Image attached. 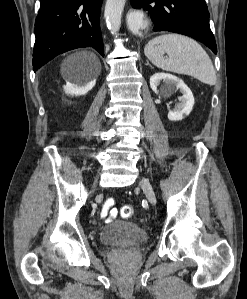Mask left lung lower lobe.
<instances>
[{
	"label": "left lung lower lobe",
	"instance_id": "left-lung-lower-lobe-1",
	"mask_svg": "<svg viewBox=\"0 0 247 299\" xmlns=\"http://www.w3.org/2000/svg\"><path fill=\"white\" fill-rule=\"evenodd\" d=\"M131 5L136 9L143 7L148 10L154 22L153 31L190 36L217 53L204 0H131Z\"/></svg>",
	"mask_w": 247,
	"mask_h": 299
}]
</instances>
